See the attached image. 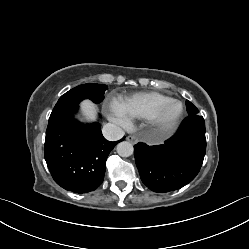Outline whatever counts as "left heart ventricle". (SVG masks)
I'll list each match as a JSON object with an SVG mask.
<instances>
[{
  "mask_svg": "<svg viewBox=\"0 0 249 249\" xmlns=\"http://www.w3.org/2000/svg\"><path fill=\"white\" fill-rule=\"evenodd\" d=\"M178 107L176 105L172 106L169 110V115L174 114L177 111Z\"/></svg>",
  "mask_w": 249,
  "mask_h": 249,
  "instance_id": "1",
  "label": "left heart ventricle"
}]
</instances>
